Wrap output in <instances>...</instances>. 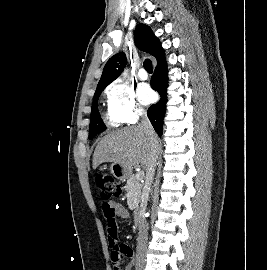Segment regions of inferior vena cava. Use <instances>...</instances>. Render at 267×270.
Returning a JSON list of instances; mask_svg holds the SVG:
<instances>
[{
	"mask_svg": "<svg viewBox=\"0 0 267 270\" xmlns=\"http://www.w3.org/2000/svg\"><path fill=\"white\" fill-rule=\"evenodd\" d=\"M138 126L141 127L145 134L150 138L151 140V149H152V156H151V162L149 164V167L146 171V180L143 187V192L141 196V204L139 208V232H138V238H137V255H136V261L137 264H143L144 258H145V249L147 246V238H148V224L146 222V208H147V202L149 199V193H150V187L154 179L155 175V168H156V162L159 156V151L154 143L155 138V131L146 115V113L142 112L140 114V122L138 123Z\"/></svg>",
	"mask_w": 267,
	"mask_h": 270,
	"instance_id": "inferior-vena-cava-1",
	"label": "inferior vena cava"
}]
</instances>
